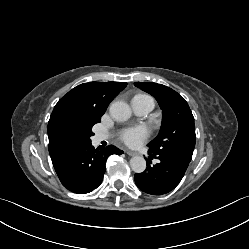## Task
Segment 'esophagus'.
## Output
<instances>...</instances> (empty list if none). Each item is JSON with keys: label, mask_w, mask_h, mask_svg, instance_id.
Instances as JSON below:
<instances>
[{"label": "esophagus", "mask_w": 249, "mask_h": 249, "mask_svg": "<svg viewBox=\"0 0 249 249\" xmlns=\"http://www.w3.org/2000/svg\"><path fill=\"white\" fill-rule=\"evenodd\" d=\"M125 153L129 156H135L137 155L138 153L137 152H134V151H130V150H126Z\"/></svg>", "instance_id": "1"}]
</instances>
